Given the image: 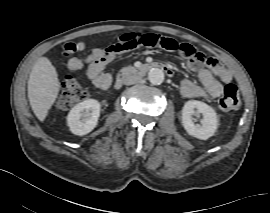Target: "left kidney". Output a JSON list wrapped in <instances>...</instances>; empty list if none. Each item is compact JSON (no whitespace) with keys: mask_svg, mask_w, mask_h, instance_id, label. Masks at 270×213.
I'll return each instance as SVG.
<instances>
[{"mask_svg":"<svg viewBox=\"0 0 270 213\" xmlns=\"http://www.w3.org/2000/svg\"><path fill=\"white\" fill-rule=\"evenodd\" d=\"M199 114L203 116L201 125L194 123L192 117ZM182 125L189 135L201 140H207L217 130L218 117L215 110L206 103L189 100L182 109Z\"/></svg>","mask_w":270,"mask_h":213,"instance_id":"1","label":"left kidney"}]
</instances>
